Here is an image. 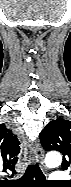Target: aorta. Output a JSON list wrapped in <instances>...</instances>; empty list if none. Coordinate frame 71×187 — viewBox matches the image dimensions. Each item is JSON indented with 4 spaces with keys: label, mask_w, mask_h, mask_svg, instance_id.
Segmentation results:
<instances>
[{
    "label": "aorta",
    "mask_w": 71,
    "mask_h": 187,
    "mask_svg": "<svg viewBox=\"0 0 71 187\" xmlns=\"http://www.w3.org/2000/svg\"><path fill=\"white\" fill-rule=\"evenodd\" d=\"M62 157L57 152H50L46 155L45 163L48 166H58L61 164Z\"/></svg>",
    "instance_id": "762f6f07"
}]
</instances>
